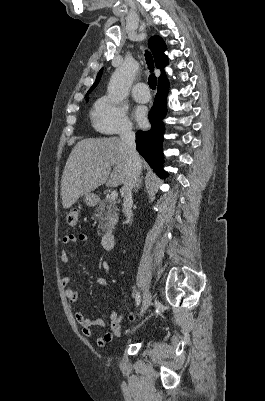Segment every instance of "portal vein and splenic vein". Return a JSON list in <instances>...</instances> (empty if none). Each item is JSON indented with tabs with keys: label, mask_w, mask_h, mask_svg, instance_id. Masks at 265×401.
Listing matches in <instances>:
<instances>
[{
	"label": "portal vein and splenic vein",
	"mask_w": 265,
	"mask_h": 401,
	"mask_svg": "<svg viewBox=\"0 0 265 401\" xmlns=\"http://www.w3.org/2000/svg\"><path fill=\"white\" fill-rule=\"evenodd\" d=\"M118 196V192H116V190H112L109 198H112V201H115V198H117Z\"/></svg>",
	"instance_id": "18ae733b"
}]
</instances>
